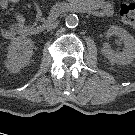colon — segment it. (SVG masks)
<instances>
[{"label": "colon", "mask_w": 135, "mask_h": 135, "mask_svg": "<svg viewBox=\"0 0 135 135\" xmlns=\"http://www.w3.org/2000/svg\"><path fill=\"white\" fill-rule=\"evenodd\" d=\"M119 16L122 22L135 29V3L122 2L119 6Z\"/></svg>", "instance_id": "5ec220e1"}]
</instances>
